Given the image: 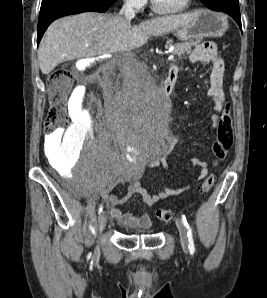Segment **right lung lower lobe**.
I'll return each instance as SVG.
<instances>
[{
	"instance_id": "98d812e1",
	"label": "right lung lower lobe",
	"mask_w": 267,
	"mask_h": 298,
	"mask_svg": "<svg viewBox=\"0 0 267 298\" xmlns=\"http://www.w3.org/2000/svg\"><path fill=\"white\" fill-rule=\"evenodd\" d=\"M116 1L117 0H42L38 21L37 45L49 24L54 20L81 12H105Z\"/></svg>"
}]
</instances>
